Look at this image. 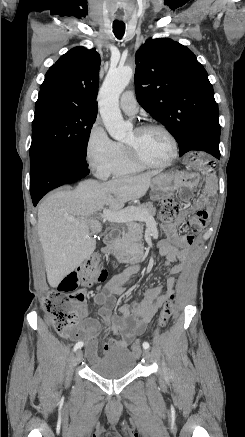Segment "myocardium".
<instances>
[{
	"instance_id": "1",
	"label": "myocardium",
	"mask_w": 245,
	"mask_h": 437,
	"mask_svg": "<svg viewBox=\"0 0 245 437\" xmlns=\"http://www.w3.org/2000/svg\"><path fill=\"white\" fill-rule=\"evenodd\" d=\"M159 130L163 132L170 140L172 145V153L168 160L162 163H152L142 159L134 150V148L128 144H123L127 157L136 165L143 168H166L170 166L178 157L179 146L178 141L174 134L165 126L157 123H148L137 126L134 130L137 133L145 132L148 130Z\"/></svg>"
}]
</instances>
